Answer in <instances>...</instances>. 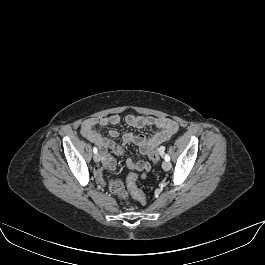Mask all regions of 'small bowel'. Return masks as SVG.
<instances>
[{
  "instance_id": "c3829d8e",
  "label": "small bowel",
  "mask_w": 265,
  "mask_h": 265,
  "mask_svg": "<svg viewBox=\"0 0 265 265\" xmlns=\"http://www.w3.org/2000/svg\"><path fill=\"white\" fill-rule=\"evenodd\" d=\"M120 121V116L113 114L100 118L87 119L82 123L81 126V133L83 137L88 141L98 145L99 148L102 149V163L106 168L110 170H113L115 168L116 162L114 157L111 154L107 153V150H111L116 155H121L123 153L122 145H119L114 140H112L119 136V132L115 129H111L109 131V136L111 137V139H108L98 133L96 127L98 125L103 127L109 125H117L120 123ZM125 121L129 126L135 128L154 127L158 129V131L152 136H144L133 133H126L123 135V145H136L142 155L149 156L156 147L168 141L179 130V126L175 121L163 117L128 115L126 116ZM126 164L129 169L140 171L141 178H145L147 173L151 169L150 163L144 160H133L131 158H128L126 160ZM95 176L99 182L103 183L102 172L100 168H97L95 170Z\"/></svg>"
}]
</instances>
